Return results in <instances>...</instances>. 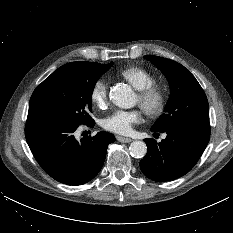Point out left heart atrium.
Here are the masks:
<instances>
[{"mask_svg": "<svg viewBox=\"0 0 233 233\" xmlns=\"http://www.w3.org/2000/svg\"><path fill=\"white\" fill-rule=\"evenodd\" d=\"M142 121V111L117 109L103 120V127L117 134H128L134 125Z\"/></svg>", "mask_w": 233, "mask_h": 233, "instance_id": "39dd6f15", "label": "left heart atrium"}]
</instances>
